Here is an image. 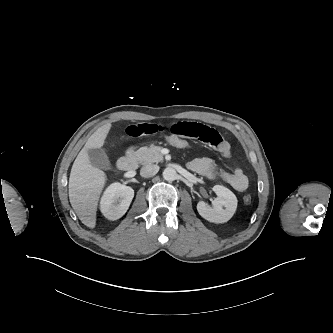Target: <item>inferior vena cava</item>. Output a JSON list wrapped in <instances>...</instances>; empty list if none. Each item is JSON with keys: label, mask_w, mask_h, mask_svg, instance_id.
<instances>
[{"label": "inferior vena cava", "mask_w": 333, "mask_h": 333, "mask_svg": "<svg viewBox=\"0 0 333 333\" xmlns=\"http://www.w3.org/2000/svg\"><path fill=\"white\" fill-rule=\"evenodd\" d=\"M159 171L158 165H146L141 168L140 175L145 178H149L157 174Z\"/></svg>", "instance_id": "602c4592"}]
</instances>
